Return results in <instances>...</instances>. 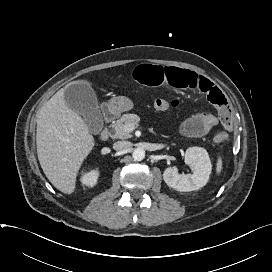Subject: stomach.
Instances as JSON below:
<instances>
[{
  "mask_svg": "<svg viewBox=\"0 0 272 272\" xmlns=\"http://www.w3.org/2000/svg\"><path fill=\"white\" fill-rule=\"evenodd\" d=\"M108 107L112 112L119 114L121 112L129 111L133 109L134 105H133V102L129 98L118 96L110 100Z\"/></svg>",
  "mask_w": 272,
  "mask_h": 272,
  "instance_id": "stomach-1",
  "label": "stomach"
}]
</instances>
